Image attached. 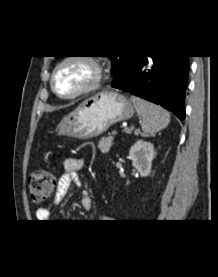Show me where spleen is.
Masks as SVG:
<instances>
[{
    "label": "spleen",
    "instance_id": "3e777b00",
    "mask_svg": "<svg viewBox=\"0 0 218 277\" xmlns=\"http://www.w3.org/2000/svg\"><path fill=\"white\" fill-rule=\"evenodd\" d=\"M131 101L142 119V130L146 134H154L169 124L170 114L162 107L136 96H131Z\"/></svg>",
    "mask_w": 218,
    "mask_h": 277
}]
</instances>
